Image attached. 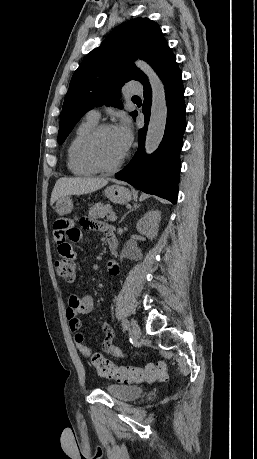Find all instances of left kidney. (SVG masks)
Returning a JSON list of instances; mask_svg holds the SVG:
<instances>
[{"label":"left kidney","instance_id":"1","mask_svg":"<svg viewBox=\"0 0 257 459\" xmlns=\"http://www.w3.org/2000/svg\"><path fill=\"white\" fill-rule=\"evenodd\" d=\"M160 220V211H150L137 222V231L152 240L157 236Z\"/></svg>","mask_w":257,"mask_h":459}]
</instances>
